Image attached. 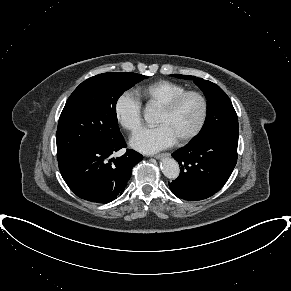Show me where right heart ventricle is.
Wrapping results in <instances>:
<instances>
[{
  "mask_svg": "<svg viewBox=\"0 0 291 291\" xmlns=\"http://www.w3.org/2000/svg\"><path fill=\"white\" fill-rule=\"evenodd\" d=\"M184 91H186V88L182 84L169 80H159L140 87L137 94L148 105L160 108Z\"/></svg>",
  "mask_w": 291,
  "mask_h": 291,
  "instance_id": "obj_1",
  "label": "right heart ventricle"
}]
</instances>
